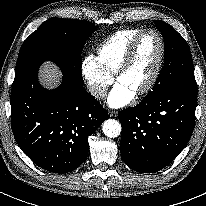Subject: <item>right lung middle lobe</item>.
I'll return each instance as SVG.
<instances>
[{
  "mask_svg": "<svg viewBox=\"0 0 206 206\" xmlns=\"http://www.w3.org/2000/svg\"><path fill=\"white\" fill-rule=\"evenodd\" d=\"M95 30L89 21L59 18L45 21L20 49L12 93L37 76L38 68L45 60L55 62L64 77L83 85L81 52Z\"/></svg>",
  "mask_w": 206,
  "mask_h": 206,
  "instance_id": "right-lung-middle-lobe-1",
  "label": "right lung middle lobe"
}]
</instances>
